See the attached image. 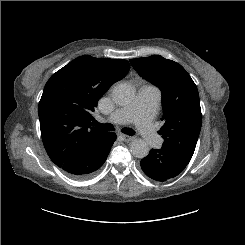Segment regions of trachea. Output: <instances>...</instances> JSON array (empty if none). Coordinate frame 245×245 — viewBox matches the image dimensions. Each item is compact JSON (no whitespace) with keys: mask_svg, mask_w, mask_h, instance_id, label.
I'll use <instances>...</instances> for the list:
<instances>
[{"mask_svg":"<svg viewBox=\"0 0 245 245\" xmlns=\"http://www.w3.org/2000/svg\"><path fill=\"white\" fill-rule=\"evenodd\" d=\"M93 124L97 127H99L100 129H103V130H106V131H113L114 130V126L111 125V124H101L97 121H94ZM123 133L127 134V135H130V136H133L135 135V131L132 130V129H129V128H123L121 130Z\"/></svg>","mask_w":245,"mask_h":245,"instance_id":"obj_1","label":"trachea"}]
</instances>
